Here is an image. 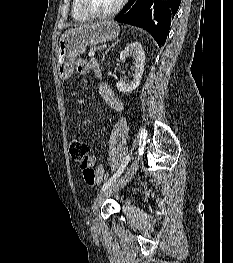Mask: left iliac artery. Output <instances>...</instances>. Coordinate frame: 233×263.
Masks as SVG:
<instances>
[{"label":"left iliac artery","instance_id":"1","mask_svg":"<svg viewBox=\"0 0 233 263\" xmlns=\"http://www.w3.org/2000/svg\"><path fill=\"white\" fill-rule=\"evenodd\" d=\"M129 160H130V156L129 155L125 156L116 173L102 186L101 191L106 190L119 178V176L123 173L125 167L127 166Z\"/></svg>","mask_w":233,"mask_h":263}]
</instances>
